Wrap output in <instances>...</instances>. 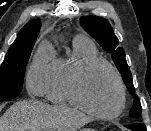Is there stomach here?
<instances>
[{
    "label": "stomach",
    "instance_id": "1",
    "mask_svg": "<svg viewBox=\"0 0 151 131\" xmlns=\"http://www.w3.org/2000/svg\"><path fill=\"white\" fill-rule=\"evenodd\" d=\"M81 131H94V130H92V129H83Z\"/></svg>",
    "mask_w": 151,
    "mask_h": 131
}]
</instances>
